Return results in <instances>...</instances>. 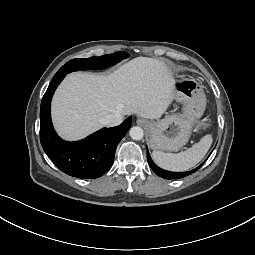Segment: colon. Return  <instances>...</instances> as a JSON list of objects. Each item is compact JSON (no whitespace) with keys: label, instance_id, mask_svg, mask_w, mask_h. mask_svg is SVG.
I'll list each match as a JSON object with an SVG mask.
<instances>
[{"label":"colon","instance_id":"obj_1","mask_svg":"<svg viewBox=\"0 0 255 255\" xmlns=\"http://www.w3.org/2000/svg\"><path fill=\"white\" fill-rule=\"evenodd\" d=\"M205 124H206L205 122H202V123L200 124V126L203 127V126H205Z\"/></svg>","mask_w":255,"mask_h":255}]
</instances>
